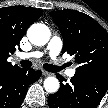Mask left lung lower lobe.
<instances>
[{"mask_svg":"<svg viewBox=\"0 0 108 108\" xmlns=\"http://www.w3.org/2000/svg\"><path fill=\"white\" fill-rule=\"evenodd\" d=\"M48 97L49 108H96L108 90V74L80 75L75 74L70 83Z\"/></svg>","mask_w":108,"mask_h":108,"instance_id":"0a47b994","label":"left lung lower lobe"}]
</instances>
